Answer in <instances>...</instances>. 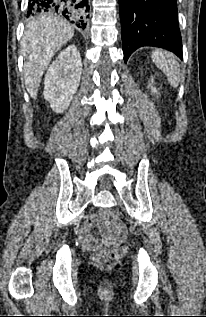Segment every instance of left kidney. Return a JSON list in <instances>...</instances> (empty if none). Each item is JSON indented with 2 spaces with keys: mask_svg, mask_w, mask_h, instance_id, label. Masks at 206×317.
<instances>
[{
  "mask_svg": "<svg viewBox=\"0 0 206 317\" xmlns=\"http://www.w3.org/2000/svg\"><path fill=\"white\" fill-rule=\"evenodd\" d=\"M151 92L155 93L157 95L159 94L158 90L155 87H153V86H151Z\"/></svg>",
  "mask_w": 206,
  "mask_h": 317,
  "instance_id": "left-kidney-1",
  "label": "left kidney"
}]
</instances>
